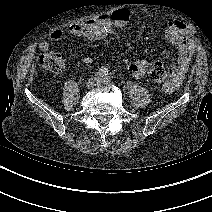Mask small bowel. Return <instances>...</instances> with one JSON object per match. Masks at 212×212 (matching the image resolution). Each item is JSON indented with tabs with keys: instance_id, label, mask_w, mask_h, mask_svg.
<instances>
[{
	"instance_id": "small-bowel-1",
	"label": "small bowel",
	"mask_w": 212,
	"mask_h": 212,
	"mask_svg": "<svg viewBox=\"0 0 212 212\" xmlns=\"http://www.w3.org/2000/svg\"><path fill=\"white\" fill-rule=\"evenodd\" d=\"M130 18L131 12L127 8H118L110 14H101L95 18L74 23L70 25L68 32L74 36L99 41L108 37L115 28L125 26ZM187 30L188 25L179 19L170 21L165 30L166 40L177 50V60L172 69L170 81L163 87L168 93L174 92L182 84L195 51L192 39L186 35ZM64 35L63 31L57 30L52 32L49 38L52 41H58ZM38 47L41 51H46L49 48V43L46 40H41ZM68 58L72 62H80L85 65H90L94 61L90 56L78 58L73 54H69ZM151 65L150 60H136L129 65V73L135 78H141Z\"/></svg>"
}]
</instances>
